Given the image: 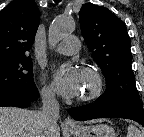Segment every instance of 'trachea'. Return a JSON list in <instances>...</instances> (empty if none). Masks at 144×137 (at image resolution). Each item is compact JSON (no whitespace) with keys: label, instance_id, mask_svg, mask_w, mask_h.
Instances as JSON below:
<instances>
[{"label":"trachea","instance_id":"obj_1","mask_svg":"<svg viewBox=\"0 0 144 137\" xmlns=\"http://www.w3.org/2000/svg\"><path fill=\"white\" fill-rule=\"evenodd\" d=\"M61 0H55L56 3H59Z\"/></svg>","mask_w":144,"mask_h":137}]
</instances>
